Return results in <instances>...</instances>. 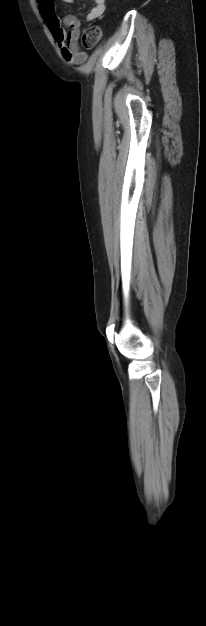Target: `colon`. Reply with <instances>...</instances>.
<instances>
[{"label": "colon", "mask_w": 206, "mask_h": 626, "mask_svg": "<svg viewBox=\"0 0 206 626\" xmlns=\"http://www.w3.org/2000/svg\"><path fill=\"white\" fill-rule=\"evenodd\" d=\"M102 35L101 29L98 26H92L88 28L83 34V45L86 48L94 47L100 40Z\"/></svg>", "instance_id": "5ec220e1"}]
</instances>
